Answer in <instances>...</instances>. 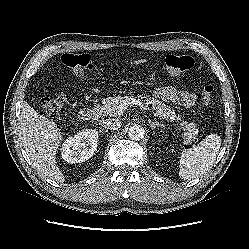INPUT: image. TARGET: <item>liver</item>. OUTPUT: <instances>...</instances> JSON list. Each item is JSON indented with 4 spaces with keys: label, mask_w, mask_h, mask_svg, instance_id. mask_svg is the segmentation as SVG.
Returning a JSON list of instances; mask_svg holds the SVG:
<instances>
[{
    "label": "liver",
    "mask_w": 249,
    "mask_h": 249,
    "mask_svg": "<svg viewBox=\"0 0 249 249\" xmlns=\"http://www.w3.org/2000/svg\"><path fill=\"white\" fill-rule=\"evenodd\" d=\"M19 134L38 172L42 176L63 182L64 175L55 161L57 148L62 141L57 125L24 102L21 105Z\"/></svg>",
    "instance_id": "obj_1"
}]
</instances>
